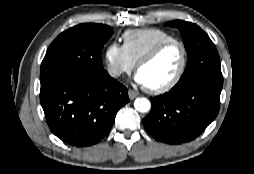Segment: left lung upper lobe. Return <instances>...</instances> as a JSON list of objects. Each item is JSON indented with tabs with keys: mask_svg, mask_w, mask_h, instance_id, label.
<instances>
[{
	"mask_svg": "<svg viewBox=\"0 0 254 174\" xmlns=\"http://www.w3.org/2000/svg\"><path fill=\"white\" fill-rule=\"evenodd\" d=\"M168 26L179 28L187 51L186 69L177 84L202 76H222L220 59L209 36L196 24L175 20Z\"/></svg>",
	"mask_w": 254,
	"mask_h": 174,
	"instance_id": "1",
	"label": "left lung upper lobe"
}]
</instances>
